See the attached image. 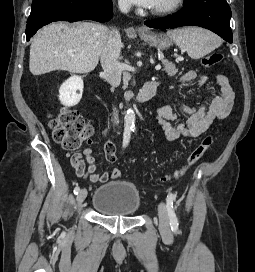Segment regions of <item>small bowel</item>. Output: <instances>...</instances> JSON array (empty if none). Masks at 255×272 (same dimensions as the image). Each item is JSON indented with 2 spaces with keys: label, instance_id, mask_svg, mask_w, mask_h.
<instances>
[{
  "label": "small bowel",
  "instance_id": "1",
  "mask_svg": "<svg viewBox=\"0 0 255 272\" xmlns=\"http://www.w3.org/2000/svg\"><path fill=\"white\" fill-rule=\"evenodd\" d=\"M208 79V76L195 70H188L179 77L181 82H196L201 87H207ZM215 81L217 89L209 88L205 99L198 104L188 105L178 98L175 106L162 105L156 109L155 120L167 141H176L182 137L197 138L208 130L215 119L228 116L235 103V93L226 76L218 74ZM182 116L184 119L180 121ZM104 151L109 162L116 160L113 140L108 139L104 143ZM70 160L77 176L83 177L87 171L92 183H104L112 177L108 172H99L90 147L85 148L82 153L72 154Z\"/></svg>",
  "mask_w": 255,
  "mask_h": 272
}]
</instances>
